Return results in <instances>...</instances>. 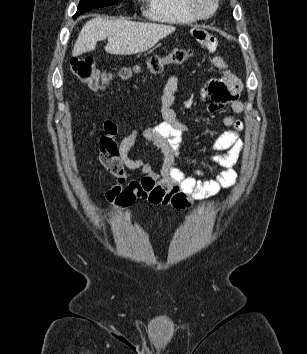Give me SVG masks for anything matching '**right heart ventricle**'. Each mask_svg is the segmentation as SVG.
Listing matches in <instances>:
<instances>
[{
    "label": "right heart ventricle",
    "mask_w": 307,
    "mask_h": 354,
    "mask_svg": "<svg viewBox=\"0 0 307 354\" xmlns=\"http://www.w3.org/2000/svg\"><path fill=\"white\" fill-rule=\"evenodd\" d=\"M145 15L170 24H191L198 19L189 11L186 0H146Z\"/></svg>",
    "instance_id": "obj_1"
}]
</instances>
